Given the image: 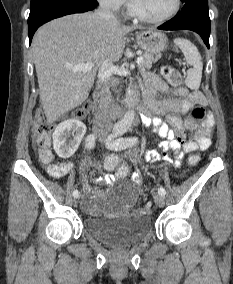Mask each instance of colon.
Returning a JSON list of instances; mask_svg holds the SVG:
<instances>
[{"label":"colon","mask_w":233,"mask_h":284,"mask_svg":"<svg viewBox=\"0 0 233 284\" xmlns=\"http://www.w3.org/2000/svg\"><path fill=\"white\" fill-rule=\"evenodd\" d=\"M165 79L173 86L181 84L180 72L171 67L164 66L161 70ZM90 105L85 104L82 108L76 110L73 113L75 118H83L89 109ZM206 118L205 109L202 106H195L190 115L185 119L184 126L186 130L194 131L198 128L199 124ZM54 130V125L50 122L42 111H39L36 116V122L33 128L34 145L38 153L40 160L43 163H49L52 159V152L50 149V136ZM200 160L198 155H191L189 157V163L196 165ZM105 168L112 173L115 179H124L128 175L127 165L116 155L108 156L105 161ZM141 213H150L151 209L149 205H146L138 210Z\"/></svg>","instance_id":"1"}]
</instances>
